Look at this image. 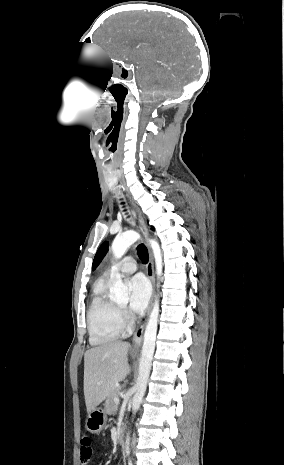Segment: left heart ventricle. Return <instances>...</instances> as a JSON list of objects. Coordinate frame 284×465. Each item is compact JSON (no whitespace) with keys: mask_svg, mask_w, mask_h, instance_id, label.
<instances>
[{"mask_svg":"<svg viewBox=\"0 0 284 465\" xmlns=\"http://www.w3.org/2000/svg\"><path fill=\"white\" fill-rule=\"evenodd\" d=\"M125 305H126V304H120L119 307H120L121 309H125Z\"/></svg>","mask_w":284,"mask_h":465,"instance_id":"left-heart-ventricle-1","label":"left heart ventricle"}]
</instances>
